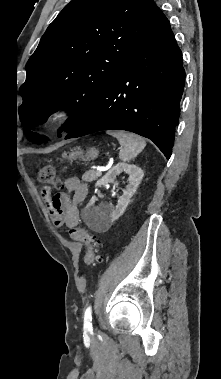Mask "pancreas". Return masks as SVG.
<instances>
[{"instance_id":"1","label":"pancreas","mask_w":221,"mask_h":379,"mask_svg":"<svg viewBox=\"0 0 221 379\" xmlns=\"http://www.w3.org/2000/svg\"><path fill=\"white\" fill-rule=\"evenodd\" d=\"M101 176V172L95 170H88L82 175V180L86 182H92Z\"/></svg>"}]
</instances>
